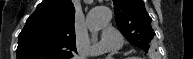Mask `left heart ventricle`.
Here are the masks:
<instances>
[{
    "mask_svg": "<svg viewBox=\"0 0 193 59\" xmlns=\"http://www.w3.org/2000/svg\"><path fill=\"white\" fill-rule=\"evenodd\" d=\"M102 53L105 55H112L114 53V50L111 48H106L102 51Z\"/></svg>",
    "mask_w": 193,
    "mask_h": 59,
    "instance_id": "b2bd125f",
    "label": "left heart ventricle"
}]
</instances>
